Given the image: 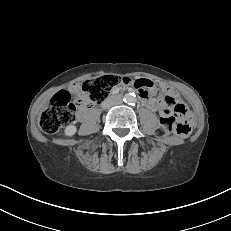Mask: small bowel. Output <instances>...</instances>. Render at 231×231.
<instances>
[{"label":"small bowel","instance_id":"1","mask_svg":"<svg viewBox=\"0 0 231 231\" xmlns=\"http://www.w3.org/2000/svg\"><path fill=\"white\" fill-rule=\"evenodd\" d=\"M71 89H72L73 93L77 97H83V92L81 90V85L80 84L73 85ZM162 90L164 91V93L167 96H170L171 98H173L176 101L179 100L177 92L175 90H173L172 88H170L168 86H162ZM142 98L144 99V102H145L146 106L149 109H151L152 111L160 112L161 115L167 114L169 112V110L163 106L162 101L156 100V99H151L148 96L147 97L142 96Z\"/></svg>","mask_w":231,"mask_h":231}]
</instances>
